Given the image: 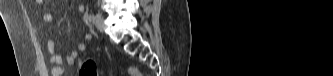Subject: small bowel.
<instances>
[{"instance_id":"obj_1","label":"small bowel","mask_w":333,"mask_h":76,"mask_svg":"<svg viewBox=\"0 0 333 76\" xmlns=\"http://www.w3.org/2000/svg\"><path fill=\"white\" fill-rule=\"evenodd\" d=\"M46 0H37L36 3L38 5H45ZM79 11L83 12L85 7L83 4L79 6ZM43 20L47 23H52L54 21L53 15L46 13L43 16ZM92 40L91 34H86L83 37V40L79 42L74 50H72L66 57H62L55 51V42L53 40L48 41V51H49V57L50 62L52 64V75L53 76H61L63 74V65H72L76 58L85 51L86 49V43Z\"/></svg>"}]
</instances>
